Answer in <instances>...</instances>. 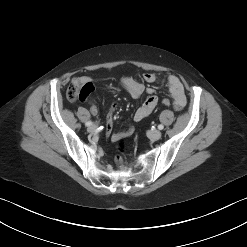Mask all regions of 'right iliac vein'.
<instances>
[{
    "label": "right iliac vein",
    "mask_w": 247,
    "mask_h": 247,
    "mask_svg": "<svg viewBox=\"0 0 247 247\" xmlns=\"http://www.w3.org/2000/svg\"><path fill=\"white\" fill-rule=\"evenodd\" d=\"M88 132L89 133H94L95 131H97V126L96 125H91L88 127Z\"/></svg>",
    "instance_id": "63e3f726"
}]
</instances>
